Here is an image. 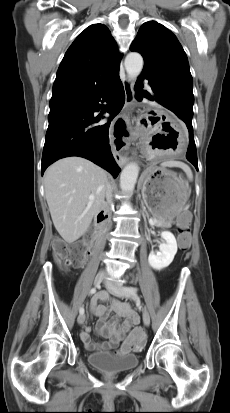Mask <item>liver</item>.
<instances>
[{
	"label": "liver",
	"instance_id": "liver-1",
	"mask_svg": "<svg viewBox=\"0 0 230 413\" xmlns=\"http://www.w3.org/2000/svg\"><path fill=\"white\" fill-rule=\"evenodd\" d=\"M108 184L107 172L85 158L67 157L48 167L45 197L53 224L67 243L79 239L105 207Z\"/></svg>",
	"mask_w": 230,
	"mask_h": 413
}]
</instances>
